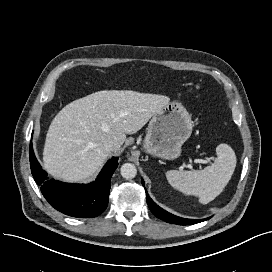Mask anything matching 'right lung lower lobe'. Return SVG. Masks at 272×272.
Returning <instances> with one entry per match:
<instances>
[{"mask_svg":"<svg viewBox=\"0 0 272 272\" xmlns=\"http://www.w3.org/2000/svg\"><path fill=\"white\" fill-rule=\"evenodd\" d=\"M30 166L34 180L41 187L45 199L58 211L78 218H92L101 214L108 205L111 177L118 166L113 157L103 167L97 179L90 184H70L48 179L38 163L30 143Z\"/></svg>","mask_w":272,"mask_h":272,"instance_id":"98d812e1","label":"right lung lower lobe"}]
</instances>
